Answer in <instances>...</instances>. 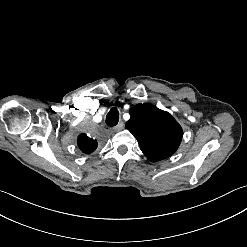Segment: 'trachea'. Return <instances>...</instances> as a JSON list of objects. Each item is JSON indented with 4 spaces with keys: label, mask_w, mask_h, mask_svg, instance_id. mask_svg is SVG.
<instances>
[{
    "label": "trachea",
    "mask_w": 247,
    "mask_h": 247,
    "mask_svg": "<svg viewBox=\"0 0 247 247\" xmlns=\"http://www.w3.org/2000/svg\"><path fill=\"white\" fill-rule=\"evenodd\" d=\"M119 121V111L116 107L111 108V110L109 111L107 117H106V124L108 126H115L117 125Z\"/></svg>",
    "instance_id": "trachea-1"
}]
</instances>
